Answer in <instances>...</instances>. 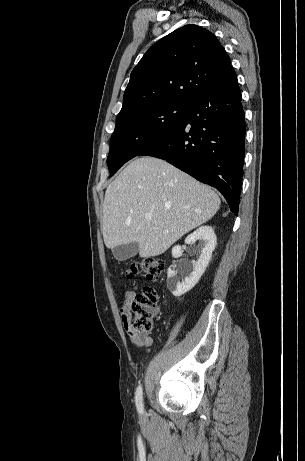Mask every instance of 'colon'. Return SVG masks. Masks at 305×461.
<instances>
[{"label":"colon","instance_id":"5ec220e1","mask_svg":"<svg viewBox=\"0 0 305 461\" xmlns=\"http://www.w3.org/2000/svg\"><path fill=\"white\" fill-rule=\"evenodd\" d=\"M164 269L163 261L154 256L131 261L126 269V277L144 276L146 279L157 282ZM158 296L151 287H145L136 295L129 308L130 329L136 334L147 335L154 328V313Z\"/></svg>","mask_w":305,"mask_h":461}]
</instances>
